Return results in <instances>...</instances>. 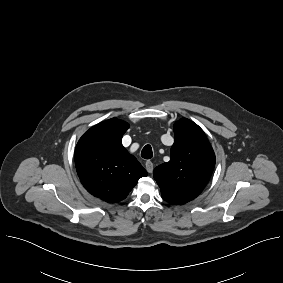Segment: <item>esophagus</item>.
Instances as JSON below:
<instances>
[{
	"label": "esophagus",
	"instance_id": "34e87169",
	"mask_svg": "<svg viewBox=\"0 0 283 283\" xmlns=\"http://www.w3.org/2000/svg\"><path fill=\"white\" fill-rule=\"evenodd\" d=\"M145 167H146V170L148 171V173H151L153 171L154 165H153L152 161L148 160L145 163Z\"/></svg>",
	"mask_w": 283,
	"mask_h": 283
}]
</instances>
